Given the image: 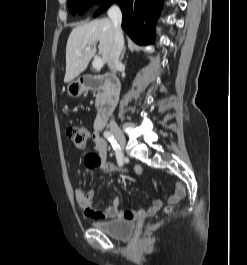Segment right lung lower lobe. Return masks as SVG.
I'll list each match as a JSON object with an SVG mask.
<instances>
[{
  "label": "right lung lower lobe",
  "mask_w": 247,
  "mask_h": 265,
  "mask_svg": "<svg viewBox=\"0 0 247 265\" xmlns=\"http://www.w3.org/2000/svg\"><path fill=\"white\" fill-rule=\"evenodd\" d=\"M112 0H107L94 16L105 11ZM123 14L122 28L139 45L153 41L154 26L160 14L163 0H115Z\"/></svg>",
  "instance_id": "obj_1"
}]
</instances>
